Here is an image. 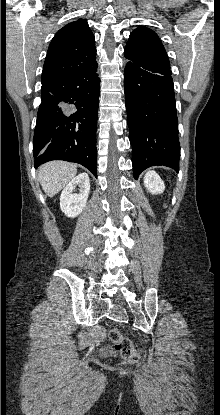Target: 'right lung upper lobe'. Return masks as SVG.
Returning a JSON list of instances; mask_svg holds the SVG:
<instances>
[{
  "instance_id": "cb5924a9",
  "label": "right lung upper lobe",
  "mask_w": 220,
  "mask_h": 415,
  "mask_svg": "<svg viewBox=\"0 0 220 415\" xmlns=\"http://www.w3.org/2000/svg\"><path fill=\"white\" fill-rule=\"evenodd\" d=\"M95 38L88 23L78 19L52 39L43 66L42 85L96 65Z\"/></svg>"
}]
</instances>
